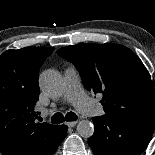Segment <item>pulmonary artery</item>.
I'll return each instance as SVG.
<instances>
[{"mask_svg": "<svg viewBox=\"0 0 155 155\" xmlns=\"http://www.w3.org/2000/svg\"><path fill=\"white\" fill-rule=\"evenodd\" d=\"M64 96L82 114L95 117L100 113L99 106L84 92L80 76L75 67H68L64 73Z\"/></svg>", "mask_w": 155, "mask_h": 155, "instance_id": "pulmonary-artery-1", "label": "pulmonary artery"}]
</instances>
